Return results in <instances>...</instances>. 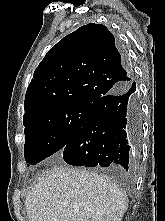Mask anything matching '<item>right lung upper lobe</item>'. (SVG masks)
Listing matches in <instances>:
<instances>
[{
    "instance_id": "1",
    "label": "right lung upper lobe",
    "mask_w": 165,
    "mask_h": 221,
    "mask_svg": "<svg viewBox=\"0 0 165 221\" xmlns=\"http://www.w3.org/2000/svg\"><path fill=\"white\" fill-rule=\"evenodd\" d=\"M132 77L113 34L102 24H87L53 46L36 68L23 120L58 106L92 105Z\"/></svg>"
}]
</instances>
